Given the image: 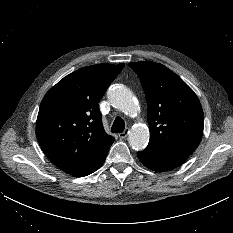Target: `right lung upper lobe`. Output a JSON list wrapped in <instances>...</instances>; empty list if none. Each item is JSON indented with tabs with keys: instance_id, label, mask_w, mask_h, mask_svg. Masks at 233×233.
Here are the masks:
<instances>
[{
	"instance_id": "cb5924a9",
	"label": "right lung upper lobe",
	"mask_w": 233,
	"mask_h": 233,
	"mask_svg": "<svg viewBox=\"0 0 233 233\" xmlns=\"http://www.w3.org/2000/svg\"><path fill=\"white\" fill-rule=\"evenodd\" d=\"M124 64H96L67 75L44 96L36 137L48 159L76 175L104 156L114 138L105 133L98 102Z\"/></svg>"
}]
</instances>
